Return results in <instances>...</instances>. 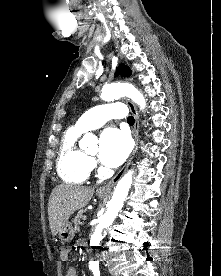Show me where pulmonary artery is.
I'll list each match as a JSON object with an SVG mask.
<instances>
[{"label": "pulmonary artery", "mask_w": 221, "mask_h": 276, "mask_svg": "<svg viewBox=\"0 0 221 276\" xmlns=\"http://www.w3.org/2000/svg\"><path fill=\"white\" fill-rule=\"evenodd\" d=\"M126 106L121 103H111L94 107L84 113L76 123V128L82 132L101 127L110 119L126 117Z\"/></svg>", "instance_id": "1"}]
</instances>
